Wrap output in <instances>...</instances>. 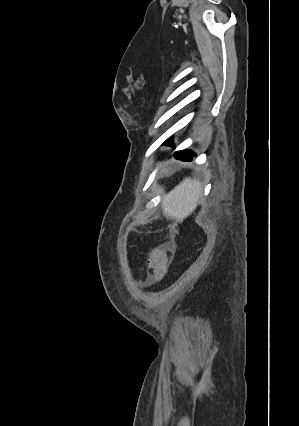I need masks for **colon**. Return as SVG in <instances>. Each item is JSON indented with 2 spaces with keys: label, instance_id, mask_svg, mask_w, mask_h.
I'll return each instance as SVG.
<instances>
[{
  "label": "colon",
  "instance_id": "obj_1",
  "mask_svg": "<svg viewBox=\"0 0 299 426\" xmlns=\"http://www.w3.org/2000/svg\"><path fill=\"white\" fill-rule=\"evenodd\" d=\"M149 278L152 283L163 280L168 268L167 245L162 244L151 249L148 259Z\"/></svg>",
  "mask_w": 299,
  "mask_h": 426
}]
</instances>
